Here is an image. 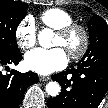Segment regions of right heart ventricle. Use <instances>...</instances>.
<instances>
[{
  "mask_svg": "<svg viewBox=\"0 0 108 108\" xmlns=\"http://www.w3.org/2000/svg\"><path fill=\"white\" fill-rule=\"evenodd\" d=\"M41 22L54 29V30H60L72 23H74L73 16L60 8H51L46 11H44L40 15Z\"/></svg>",
  "mask_w": 108,
  "mask_h": 108,
  "instance_id": "obj_1",
  "label": "right heart ventricle"
}]
</instances>
